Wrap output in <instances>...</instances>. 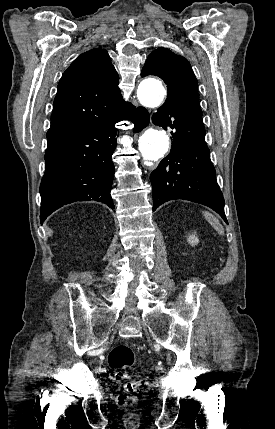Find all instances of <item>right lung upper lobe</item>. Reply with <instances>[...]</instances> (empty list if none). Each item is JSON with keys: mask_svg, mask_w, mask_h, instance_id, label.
Returning <instances> with one entry per match:
<instances>
[{"mask_svg": "<svg viewBox=\"0 0 275 429\" xmlns=\"http://www.w3.org/2000/svg\"><path fill=\"white\" fill-rule=\"evenodd\" d=\"M119 76L106 50L95 48L77 57L62 75L47 139L112 120L127 105Z\"/></svg>", "mask_w": 275, "mask_h": 429, "instance_id": "obj_1", "label": "right lung upper lobe"}]
</instances>
